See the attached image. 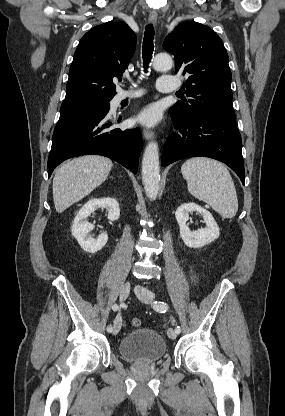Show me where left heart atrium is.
Segmentation results:
<instances>
[{"mask_svg": "<svg viewBox=\"0 0 285 416\" xmlns=\"http://www.w3.org/2000/svg\"><path fill=\"white\" fill-rule=\"evenodd\" d=\"M159 120V113L154 106L145 107L138 116V121L145 126H154Z\"/></svg>", "mask_w": 285, "mask_h": 416, "instance_id": "left-heart-atrium-1", "label": "left heart atrium"}]
</instances>
